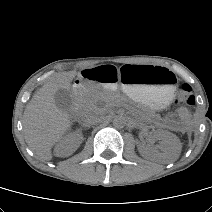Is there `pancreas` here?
<instances>
[{
    "mask_svg": "<svg viewBox=\"0 0 212 212\" xmlns=\"http://www.w3.org/2000/svg\"><path fill=\"white\" fill-rule=\"evenodd\" d=\"M98 100H102L103 102H105V109L121 104L120 99H118L117 95L115 94L103 95L97 92H92L81 98L82 108L85 110L90 109ZM135 115L138 117L139 120L146 118V115L143 114L140 110H135Z\"/></svg>",
    "mask_w": 212,
    "mask_h": 212,
    "instance_id": "cf45deb5",
    "label": "pancreas"
}]
</instances>
